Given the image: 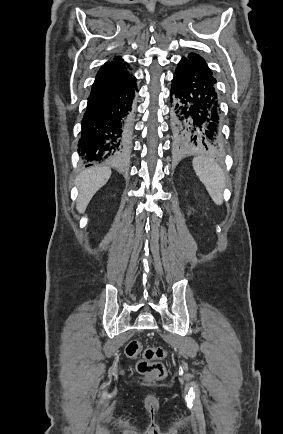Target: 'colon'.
I'll list each match as a JSON object with an SVG mask.
<instances>
[{
    "label": "colon",
    "mask_w": 283,
    "mask_h": 434,
    "mask_svg": "<svg viewBox=\"0 0 283 434\" xmlns=\"http://www.w3.org/2000/svg\"><path fill=\"white\" fill-rule=\"evenodd\" d=\"M126 355L131 359H138L137 371L153 380H160L166 375V368L160 362L166 356V350L162 347H149L142 352L138 340H131L125 347Z\"/></svg>",
    "instance_id": "5ec220e1"
}]
</instances>
